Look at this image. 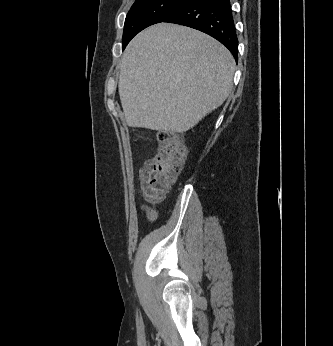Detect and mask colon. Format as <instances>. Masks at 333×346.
<instances>
[{"label": "colon", "mask_w": 333, "mask_h": 346, "mask_svg": "<svg viewBox=\"0 0 333 346\" xmlns=\"http://www.w3.org/2000/svg\"><path fill=\"white\" fill-rule=\"evenodd\" d=\"M159 146L140 174L143 198L150 204L160 203L181 171L187 150L183 142L169 132L158 135Z\"/></svg>", "instance_id": "colon-1"}]
</instances>
